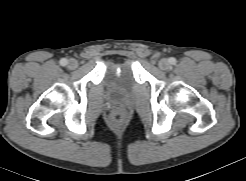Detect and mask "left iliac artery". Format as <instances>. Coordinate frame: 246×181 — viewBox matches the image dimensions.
I'll return each mask as SVG.
<instances>
[{"mask_svg":"<svg viewBox=\"0 0 246 181\" xmlns=\"http://www.w3.org/2000/svg\"><path fill=\"white\" fill-rule=\"evenodd\" d=\"M169 62H170L171 64H175V63H176V59L173 58V57H171V58H169Z\"/></svg>","mask_w":246,"mask_h":181,"instance_id":"1","label":"left iliac artery"}]
</instances>
